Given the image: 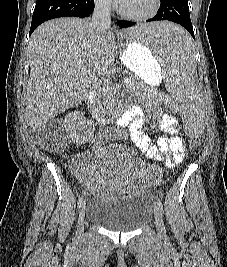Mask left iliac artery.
I'll list each match as a JSON object with an SVG mask.
<instances>
[{
	"label": "left iliac artery",
	"instance_id": "obj_1",
	"mask_svg": "<svg viewBox=\"0 0 227 267\" xmlns=\"http://www.w3.org/2000/svg\"><path fill=\"white\" fill-rule=\"evenodd\" d=\"M156 203H157V206L159 207V209L161 211H163V204H162V202H161V200L159 198H157Z\"/></svg>",
	"mask_w": 227,
	"mask_h": 267
}]
</instances>
